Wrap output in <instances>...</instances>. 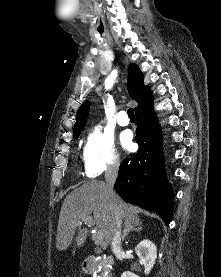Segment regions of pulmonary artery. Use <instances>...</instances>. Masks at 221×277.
Here are the masks:
<instances>
[{"mask_svg":"<svg viewBox=\"0 0 221 277\" xmlns=\"http://www.w3.org/2000/svg\"><path fill=\"white\" fill-rule=\"evenodd\" d=\"M117 122L120 126H127L129 124V119L125 111H120L117 115Z\"/></svg>","mask_w":221,"mask_h":277,"instance_id":"obj_1","label":"pulmonary artery"}]
</instances>
